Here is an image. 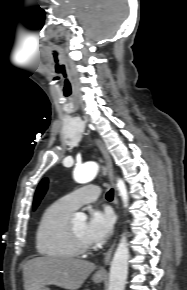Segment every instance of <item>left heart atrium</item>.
Instances as JSON below:
<instances>
[{
    "instance_id": "left-heart-atrium-1",
    "label": "left heart atrium",
    "mask_w": 187,
    "mask_h": 290,
    "mask_svg": "<svg viewBox=\"0 0 187 290\" xmlns=\"http://www.w3.org/2000/svg\"><path fill=\"white\" fill-rule=\"evenodd\" d=\"M114 217L109 211L91 209L86 223L85 236L90 244L104 242L112 233Z\"/></svg>"
}]
</instances>
